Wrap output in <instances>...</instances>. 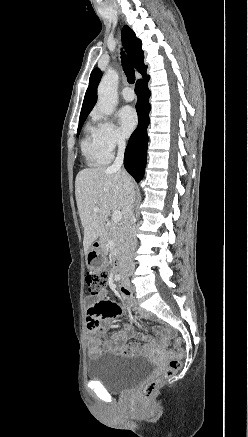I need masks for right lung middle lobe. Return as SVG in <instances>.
<instances>
[{
	"mask_svg": "<svg viewBox=\"0 0 248 437\" xmlns=\"http://www.w3.org/2000/svg\"><path fill=\"white\" fill-rule=\"evenodd\" d=\"M85 119H86V117H84V118H82V119L79 120V126H78L77 136H78L79 133H80L81 127H82V125H83Z\"/></svg>",
	"mask_w": 248,
	"mask_h": 437,
	"instance_id": "right-lung-middle-lobe-1",
	"label": "right lung middle lobe"
}]
</instances>
